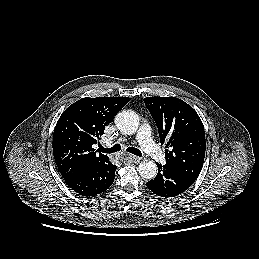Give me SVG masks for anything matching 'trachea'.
I'll return each mask as SVG.
<instances>
[{
  "mask_svg": "<svg viewBox=\"0 0 259 259\" xmlns=\"http://www.w3.org/2000/svg\"><path fill=\"white\" fill-rule=\"evenodd\" d=\"M121 150V146L120 144H115L114 146H112L111 148H103L102 146L100 147V151L104 152V153H115V152H119ZM127 151L131 154H134L136 156H142V153L140 150H138L137 148L134 147H128Z\"/></svg>",
  "mask_w": 259,
  "mask_h": 259,
  "instance_id": "1",
  "label": "trachea"
}]
</instances>
